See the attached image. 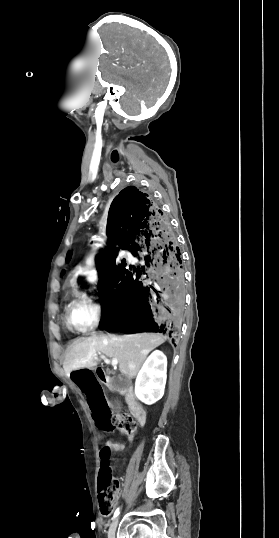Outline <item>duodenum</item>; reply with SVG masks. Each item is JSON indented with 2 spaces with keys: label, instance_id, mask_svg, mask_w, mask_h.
Instances as JSON below:
<instances>
[{
  "label": "duodenum",
  "instance_id": "1",
  "mask_svg": "<svg viewBox=\"0 0 279 538\" xmlns=\"http://www.w3.org/2000/svg\"><path fill=\"white\" fill-rule=\"evenodd\" d=\"M93 376L95 380H99L101 385L104 387L112 386V377L109 374L107 366L98 365L96 366ZM132 386H127V389L124 391L126 395L127 402V411L132 414V417L136 419V423L145 424L147 419L145 418L144 410L140 409V404L136 402V399L131 394ZM142 424H139V427H142Z\"/></svg>",
  "mask_w": 279,
  "mask_h": 538
}]
</instances>
